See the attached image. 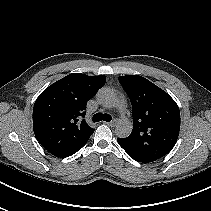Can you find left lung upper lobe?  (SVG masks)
<instances>
[{"label": "left lung upper lobe", "instance_id": "obj_1", "mask_svg": "<svg viewBox=\"0 0 211 211\" xmlns=\"http://www.w3.org/2000/svg\"><path fill=\"white\" fill-rule=\"evenodd\" d=\"M132 104L133 130L124 147L156 159L168 154L177 142L180 111L161 88L138 75L120 76Z\"/></svg>", "mask_w": 211, "mask_h": 211}]
</instances>
